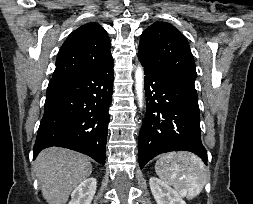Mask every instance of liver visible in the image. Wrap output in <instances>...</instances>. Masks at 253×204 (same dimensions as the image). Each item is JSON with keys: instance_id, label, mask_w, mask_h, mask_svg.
Returning <instances> with one entry per match:
<instances>
[{"instance_id": "6515ba94", "label": "liver", "mask_w": 253, "mask_h": 204, "mask_svg": "<svg viewBox=\"0 0 253 204\" xmlns=\"http://www.w3.org/2000/svg\"><path fill=\"white\" fill-rule=\"evenodd\" d=\"M33 167L49 204H65L71 192L92 173L88 157L60 147L41 151Z\"/></svg>"}]
</instances>
